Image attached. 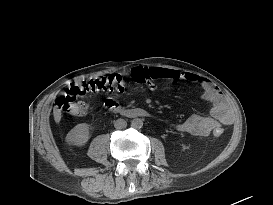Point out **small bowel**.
Returning <instances> with one entry per match:
<instances>
[{"instance_id":"c3829d8e","label":"small bowel","mask_w":273,"mask_h":205,"mask_svg":"<svg viewBox=\"0 0 273 205\" xmlns=\"http://www.w3.org/2000/svg\"><path fill=\"white\" fill-rule=\"evenodd\" d=\"M150 80L147 82L152 88L160 79H185L198 84L203 89V97L211 103L210 116L193 115L183 123L175 125V129L193 136H207L222 125L232 123L233 117L224 95L208 79L192 74L180 73L176 70L149 67Z\"/></svg>"}]
</instances>
